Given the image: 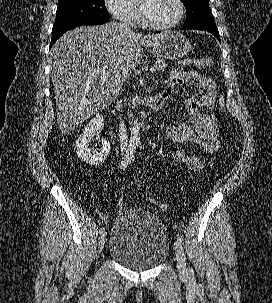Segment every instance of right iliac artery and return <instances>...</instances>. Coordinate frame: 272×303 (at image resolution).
I'll use <instances>...</instances> for the list:
<instances>
[{"mask_svg": "<svg viewBox=\"0 0 272 303\" xmlns=\"http://www.w3.org/2000/svg\"><path fill=\"white\" fill-rule=\"evenodd\" d=\"M135 149H136V145L135 144L131 143L128 146V149L126 150V154H125L123 160L121 161V163L119 164V168L121 170H124L128 166V164L131 162V160H132V158L134 156ZM104 232H105V229L103 227L100 228L99 233L102 234Z\"/></svg>", "mask_w": 272, "mask_h": 303, "instance_id": "1", "label": "right iliac artery"}]
</instances>
